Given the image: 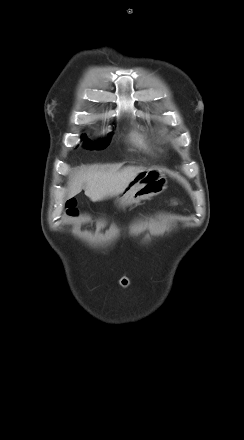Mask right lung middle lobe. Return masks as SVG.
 <instances>
[{
  "label": "right lung middle lobe",
  "instance_id": "obj_1",
  "mask_svg": "<svg viewBox=\"0 0 244 440\" xmlns=\"http://www.w3.org/2000/svg\"><path fill=\"white\" fill-rule=\"evenodd\" d=\"M85 141H87V148L89 149H103L106 147V144H100V145H96L94 143H92L91 141H89L85 135H82V137Z\"/></svg>",
  "mask_w": 244,
  "mask_h": 440
}]
</instances>
